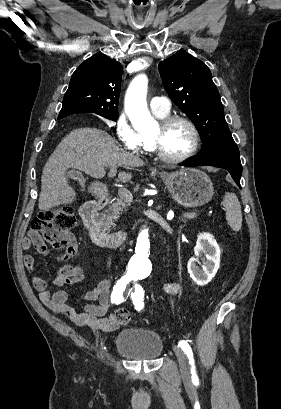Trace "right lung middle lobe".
<instances>
[{"label": "right lung middle lobe", "instance_id": "1", "mask_svg": "<svg viewBox=\"0 0 281 409\" xmlns=\"http://www.w3.org/2000/svg\"><path fill=\"white\" fill-rule=\"evenodd\" d=\"M100 116H103L104 118H107L112 121H117L118 119V114H101Z\"/></svg>", "mask_w": 281, "mask_h": 409}]
</instances>
